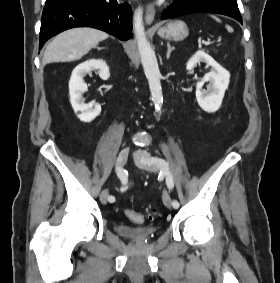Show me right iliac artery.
I'll return each instance as SVG.
<instances>
[{"instance_id": "obj_1", "label": "right iliac artery", "mask_w": 280, "mask_h": 283, "mask_svg": "<svg viewBox=\"0 0 280 283\" xmlns=\"http://www.w3.org/2000/svg\"><path fill=\"white\" fill-rule=\"evenodd\" d=\"M116 172H117V176L120 179V181L123 184L127 183V171L125 169L121 168V167H118L116 169ZM108 200L111 203H113V202H115V197L111 195V196L108 197Z\"/></svg>"}]
</instances>
